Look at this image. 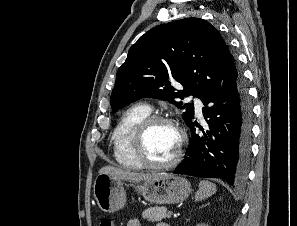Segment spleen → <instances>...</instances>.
<instances>
[{"mask_svg": "<svg viewBox=\"0 0 297 226\" xmlns=\"http://www.w3.org/2000/svg\"><path fill=\"white\" fill-rule=\"evenodd\" d=\"M216 185L209 182V181H200L199 183V189L196 192L195 199L196 201L205 199L207 197L212 196L214 193H216Z\"/></svg>", "mask_w": 297, "mask_h": 226, "instance_id": "1", "label": "spleen"}]
</instances>
